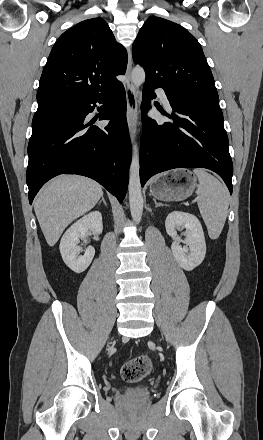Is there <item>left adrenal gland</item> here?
Returning <instances> with one entry per match:
<instances>
[{
  "label": "left adrenal gland",
  "mask_w": 263,
  "mask_h": 440,
  "mask_svg": "<svg viewBox=\"0 0 263 440\" xmlns=\"http://www.w3.org/2000/svg\"><path fill=\"white\" fill-rule=\"evenodd\" d=\"M154 203H155V207H160V206H166L162 203H157V201L155 199H153Z\"/></svg>",
  "instance_id": "left-adrenal-gland-1"
}]
</instances>
